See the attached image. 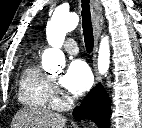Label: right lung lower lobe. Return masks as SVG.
Listing matches in <instances>:
<instances>
[{"label":"right lung lower lobe","mask_w":142,"mask_h":128,"mask_svg":"<svg viewBox=\"0 0 142 128\" xmlns=\"http://www.w3.org/2000/svg\"><path fill=\"white\" fill-rule=\"evenodd\" d=\"M110 106L107 92L102 85H98L89 92L82 104L74 110L73 115L77 121L91 119L99 128H108Z\"/></svg>","instance_id":"right-lung-lower-lobe-1"}]
</instances>
